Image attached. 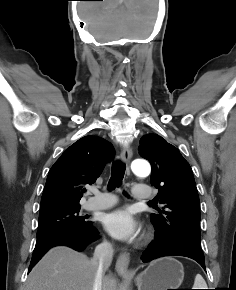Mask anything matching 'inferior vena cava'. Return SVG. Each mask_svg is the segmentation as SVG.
Segmentation results:
<instances>
[{
	"mask_svg": "<svg viewBox=\"0 0 236 290\" xmlns=\"http://www.w3.org/2000/svg\"><path fill=\"white\" fill-rule=\"evenodd\" d=\"M113 259V247L112 244L104 241L99 244L94 251L91 264L96 267V276L94 281L93 290H102L103 276Z\"/></svg>",
	"mask_w": 236,
	"mask_h": 290,
	"instance_id": "obj_1",
	"label": "inferior vena cava"
}]
</instances>
